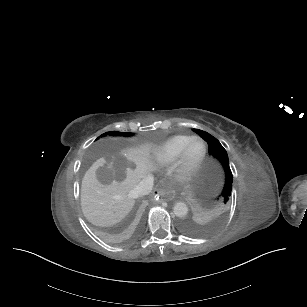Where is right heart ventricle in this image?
<instances>
[{
  "label": "right heart ventricle",
  "mask_w": 307,
  "mask_h": 307,
  "mask_svg": "<svg viewBox=\"0 0 307 307\" xmlns=\"http://www.w3.org/2000/svg\"><path fill=\"white\" fill-rule=\"evenodd\" d=\"M190 135H172L154 145H142L136 149H143L147 156L160 164H168L175 160L191 139Z\"/></svg>",
  "instance_id": "right-heart-ventricle-1"
}]
</instances>
